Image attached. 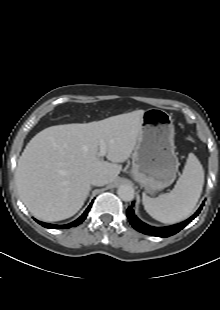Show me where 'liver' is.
Instances as JSON below:
<instances>
[{
	"label": "liver",
	"instance_id": "obj_1",
	"mask_svg": "<svg viewBox=\"0 0 220 310\" xmlns=\"http://www.w3.org/2000/svg\"><path fill=\"white\" fill-rule=\"evenodd\" d=\"M144 110H135L90 123L48 127L36 134L20 156L15 172L21 200L43 221H60L83 206L94 175L115 181L134 150ZM107 146L100 159V143Z\"/></svg>",
	"mask_w": 220,
	"mask_h": 310
}]
</instances>
